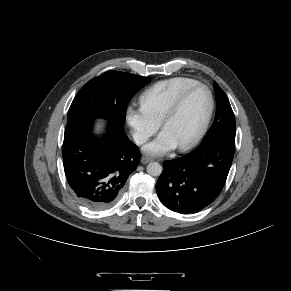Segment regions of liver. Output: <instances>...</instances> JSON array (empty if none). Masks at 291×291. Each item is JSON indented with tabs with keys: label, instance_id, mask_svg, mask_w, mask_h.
Segmentation results:
<instances>
[{
	"label": "liver",
	"instance_id": "6515ba94",
	"mask_svg": "<svg viewBox=\"0 0 291 291\" xmlns=\"http://www.w3.org/2000/svg\"><path fill=\"white\" fill-rule=\"evenodd\" d=\"M103 120H98V123H102Z\"/></svg>",
	"mask_w": 291,
	"mask_h": 291
}]
</instances>
